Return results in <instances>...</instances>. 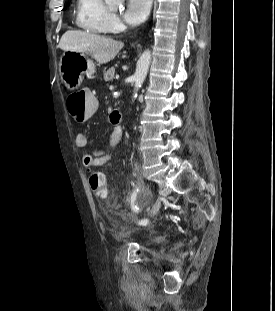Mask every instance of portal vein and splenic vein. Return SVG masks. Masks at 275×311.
<instances>
[{"instance_id":"1","label":"portal vein and splenic vein","mask_w":275,"mask_h":311,"mask_svg":"<svg viewBox=\"0 0 275 311\" xmlns=\"http://www.w3.org/2000/svg\"><path fill=\"white\" fill-rule=\"evenodd\" d=\"M116 78H119V75H116Z\"/></svg>"}]
</instances>
